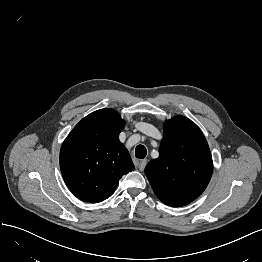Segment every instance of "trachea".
Returning <instances> with one entry per match:
<instances>
[{
  "instance_id": "obj_1",
  "label": "trachea",
  "mask_w": 262,
  "mask_h": 262,
  "mask_svg": "<svg viewBox=\"0 0 262 262\" xmlns=\"http://www.w3.org/2000/svg\"><path fill=\"white\" fill-rule=\"evenodd\" d=\"M147 154V150L145 148V146L143 145H138L135 149V156L139 159H143L145 158Z\"/></svg>"
}]
</instances>
